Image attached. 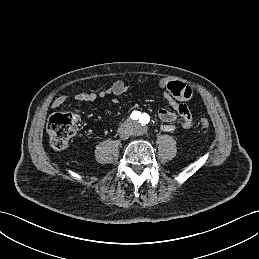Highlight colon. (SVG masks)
Returning <instances> with one entry per match:
<instances>
[{
	"instance_id": "obj_1",
	"label": "colon",
	"mask_w": 259,
	"mask_h": 259,
	"mask_svg": "<svg viewBox=\"0 0 259 259\" xmlns=\"http://www.w3.org/2000/svg\"><path fill=\"white\" fill-rule=\"evenodd\" d=\"M78 117L75 114H55L50 117L47 124V133L51 146L56 150H63L70 144L71 139L76 133ZM210 127L209 120L202 118L200 128L206 132Z\"/></svg>"
}]
</instances>
